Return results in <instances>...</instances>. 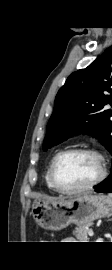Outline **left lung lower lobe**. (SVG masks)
Here are the masks:
<instances>
[{"label":"left lung lower lobe","mask_w":112,"mask_h":270,"mask_svg":"<svg viewBox=\"0 0 112 270\" xmlns=\"http://www.w3.org/2000/svg\"><path fill=\"white\" fill-rule=\"evenodd\" d=\"M94 188L96 192H112V169L111 174Z\"/></svg>","instance_id":"obj_1"}]
</instances>
